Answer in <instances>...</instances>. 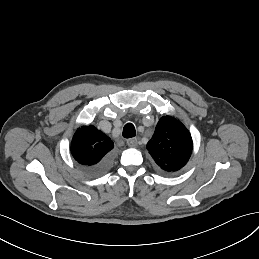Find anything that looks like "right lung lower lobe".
Wrapping results in <instances>:
<instances>
[{
	"label": "right lung lower lobe",
	"mask_w": 259,
	"mask_h": 259,
	"mask_svg": "<svg viewBox=\"0 0 259 259\" xmlns=\"http://www.w3.org/2000/svg\"><path fill=\"white\" fill-rule=\"evenodd\" d=\"M112 156L111 155H107L105 158H103L100 162H98L95 165H91V166H84V169L91 175H98L101 174L103 172H105L106 170H108L112 164Z\"/></svg>",
	"instance_id": "obj_1"
}]
</instances>
